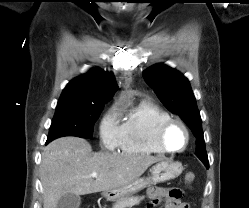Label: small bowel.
<instances>
[{"label":"small bowel","instance_id":"c3829d8e","mask_svg":"<svg viewBox=\"0 0 249 208\" xmlns=\"http://www.w3.org/2000/svg\"><path fill=\"white\" fill-rule=\"evenodd\" d=\"M148 195L151 199L148 208H155L161 201H165V208H189L187 203L181 201L182 192L178 188L154 186L149 188Z\"/></svg>","mask_w":249,"mask_h":208}]
</instances>
